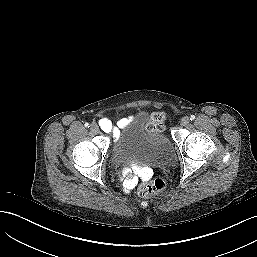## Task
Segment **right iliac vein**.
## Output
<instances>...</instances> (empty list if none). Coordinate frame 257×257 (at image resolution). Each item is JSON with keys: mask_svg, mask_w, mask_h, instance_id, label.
Instances as JSON below:
<instances>
[{"mask_svg": "<svg viewBox=\"0 0 257 257\" xmlns=\"http://www.w3.org/2000/svg\"><path fill=\"white\" fill-rule=\"evenodd\" d=\"M90 130H91L93 133L97 134V133L99 132V127H98L97 124H92V125L90 126Z\"/></svg>", "mask_w": 257, "mask_h": 257, "instance_id": "obj_1", "label": "right iliac vein"}]
</instances>
